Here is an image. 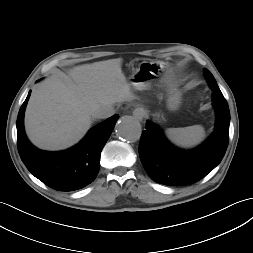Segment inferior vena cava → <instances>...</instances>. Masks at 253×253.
Here are the masks:
<instances>
[{"mask_svg": "<svg viewBox=\"0 0 253 253\" xmlns=\"http://www.w3.org/2000/svg\"><path fill=\"white\" fill-rule=\"evenodd\" d=\"M115 113V109L113 106H104L100 107L94 111L93 115L99 119H106L111 117Z\"/></svg>", "mask_w": 253, "mask_h": 253, "instance_id": "602c4592", "label": "inferior vena cava"}]
</instances>
